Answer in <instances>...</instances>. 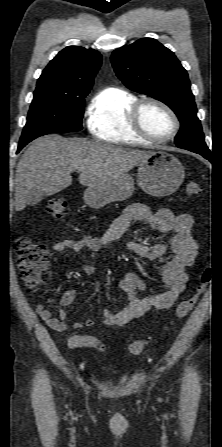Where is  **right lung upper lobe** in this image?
I'll list each match as a JSON object with an SVG mask.
<instances>
[{"mask_svg":"<svg viewBox=\"0 0 222 447\" xmlns=\"http://www.w3.org/2000/svg\"><path fill=\"white\" fill-rule=\"evenodd\" d=\"M101 54L93 49L68 46L43 70L37 88H51L80 96L89 93L101 65Z\"/></svg>","mask_w":222,"mask_h":447,"instance_id":"right-lung-upper-lobe-1","label":"right lung upper lobe"}]
</instances>
